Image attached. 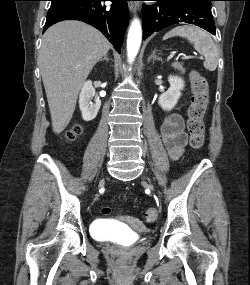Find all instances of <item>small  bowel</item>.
I'll list each match as a JSON object with an SVG mask.
<instances>
[{
  "mask_svg": "<svg viewBox=\"0 0 250 285\" xmlns=\"http://www.w3.org/2000/svg\"><path fill=\"white\" fill-rule=\"evenodd\" d=\"M161 135L171 159L177 160L187 144L183 118L176 113L168 115L161 125Z\"/></svg>",
  "mask_w": 250,
  "mask_h": 285,
  "instance_id": "small-bowel-1",
  "label": "small bowel"
}]
</instances>
